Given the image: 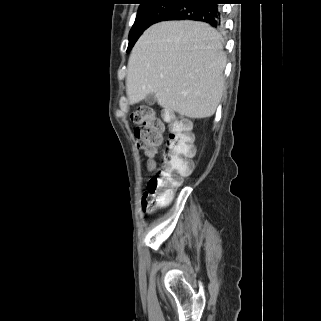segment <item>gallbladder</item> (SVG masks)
Masks as SVG:
<instances>
[{
	"label": "gallbladder",
	"mask_w": 321,
	"mask_h": 321,
	"mask_svg": "<svg viewBox=\"0 0 321 321\" xmlns=\"http://www.w3.org/2000/svg\"><path fill=\"white\" fill-rule=\"evenodd\" d=\"M144 101L147 105H154L156 102V97L154 94H149L145 97Z\"/></svg>",
	"instance_id": "obj_1"
}]
</instances>
